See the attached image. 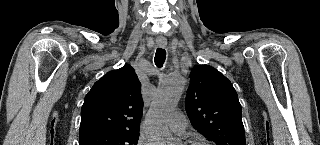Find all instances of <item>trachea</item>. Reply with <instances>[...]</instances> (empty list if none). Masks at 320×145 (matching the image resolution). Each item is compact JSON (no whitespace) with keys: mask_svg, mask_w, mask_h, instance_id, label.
<instances>
[{"mask_svg":"<svg viewBox=\"0 0 320 145\" xmlns=\"http://www.w3.org/2000/svg\"><path fill=\"white\" fill-rule=\"evenodd\" d=\"M166 59V51L162 48H157L156 54H155V64L158 68H161L165 62Z\"/></svg>","mask_w":320,"mask_h":145,"instance_id":"3493384b","label":"trachea"}]
</instances>
